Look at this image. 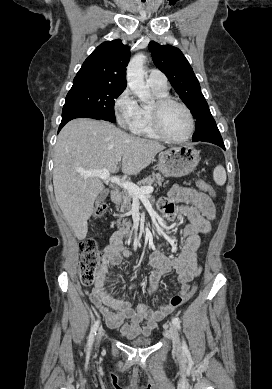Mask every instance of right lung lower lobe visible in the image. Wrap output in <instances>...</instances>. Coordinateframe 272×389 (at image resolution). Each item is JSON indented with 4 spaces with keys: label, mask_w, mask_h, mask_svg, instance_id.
<instances>
[{
    "label": "right lung lower lobe",
    "mask_w": 272,
    "mask_h": 389,
    "mask_svg": "<svg viewBox=\"0 0 272 389\" xmlns=\"http://www.w3.org/2000/svg\"><path fill=\"white\" fill-rule=\"evenodd\" d=\"M82 117L93 118V119H97V120H103L100 117L95 116V115L90 114V113H87V112H82V111H69V112H65V113H62V121H61V124L59 126L58 132L62 129V127L68 121H70L72 119H75V118H82Z\"/></svg>",
    "instance_id": "98d812e1"
}]
</instances>
